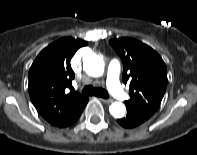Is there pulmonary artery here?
I'll use <instances>...</instances> for the list:
<instances>
[{
    "mask_svg": "<svg viewBox=\"0 0 197 155\" xmlns=\"http://www.w3.org/2000/svg\"><path fill=\"white\" fill-rule=\"evenodd\" d=\"M121 71V64L118 59H113L107 68V88L118 99L124 100L127 98V94L120 86L119 76Z\"/></svg>",
    "mask_w": 197,
    "mask_h": 155,
    "instance_id": "1",
    "label": "pulmonary artery"
}]
</instances>
